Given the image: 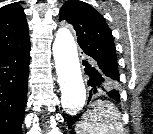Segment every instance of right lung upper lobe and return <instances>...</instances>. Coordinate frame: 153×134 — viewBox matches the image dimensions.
I'll return each mask as SVG.
<instances>
[{"label":"right lung upper lobe","mask_w":153,"mask_h":134,"mask_svg":"<svg viewBox=\"0 0 153 134\" xmlns=\"http://www.w3.org/2000/svg\"><path fill=\"white\" fill-rule=\"evenodd\" d=\"M30 43L22 6L15 2L0 8V56Z\"/></svg>","instance_id":"cb5924a9"}]
</instances>
